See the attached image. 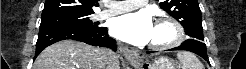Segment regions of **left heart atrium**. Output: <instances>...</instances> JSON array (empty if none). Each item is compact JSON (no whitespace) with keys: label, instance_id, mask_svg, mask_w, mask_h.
Listing matches in <instances>:
<instances>
[{"label":"left heart atrium","instance_id":"obj_1","mask_svg":"<svg viewBox=\"0 0 246 69\" xmlns=\"http://www.w3.org/2000/svg\"><path fill=\"white\" fill-rule=\"evenodd\" d=\"M154 28L151 14L145 10L116 17L111 24V32L116 38L137 46L151 41Z\"/></svg>","mask_w":246,"mask_h":69}]
</instances>
